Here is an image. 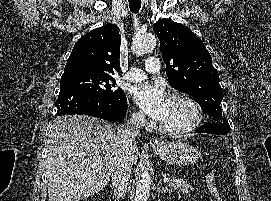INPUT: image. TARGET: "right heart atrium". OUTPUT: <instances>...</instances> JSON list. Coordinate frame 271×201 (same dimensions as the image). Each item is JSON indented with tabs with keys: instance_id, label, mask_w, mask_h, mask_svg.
I'll list each match as a JSON object with an SVG mask.
<instances>
[{
	"instance_id": "1",
	"label": "right heart atrium",
	"mask_w": 271,
	"mask_h": 201,
	"mask_svg": "<svg viewBox=\"0 0 271 201\" xmlns=\"http://www.w3.org/2000/svg\"><path fill=\"white\" fill-rule=\"evenodd\" d=\"M132 120L136 123H143L145 118L142 112L136 111L132 113Z\"/></svg>"
}]
</instances>
